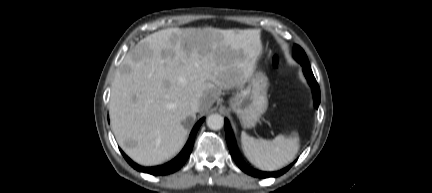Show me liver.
I'll return each instance as SVG.
<instances>
[{
	"label": "liver",
	"mask_w": 432,
	"mask_h": 193,
	"mask_svg": "<svg viewBox=\"0 0 432 193\" xmlns=\"http://www.w3.org/2000/svg\"><path fill=\"white\" fill-rule=\"evenodd\" d=\"M262 53L258 29L167 28L140 40L115 74L109 111L115 138L136 163L161 164L183 147L196 118L222 90L243 88Z\"/></svg>",
	"instance_id": "liver-1"
}]
</instances>
